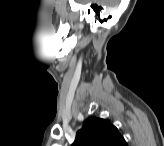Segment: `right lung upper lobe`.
Listing matches in <instances>:
<instances>
[{
  "label": "right lung upper lobe",
  "instance_id": "1",
  "mask_svg": "<svg viewBox=\"0 0 164 146\" xmlns=\"http://www.w3.org/2000/svg\"><path fill=\"white\" fill-rule=\"evenodd\" d=\"M124 138L108 121L88 118L77 134L73 146H125Z\"/></svg>",
  "mask_w": 164,
  "mask_h": 146
}]
</instances>
